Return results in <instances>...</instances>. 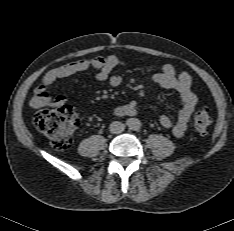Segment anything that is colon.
Returning <instances> with one entry per match:
<instances>
[{"label": "colon", "mask_w": 234, "mask_h": 231, "mask_svg": "<svg viewBox=\"0 0 234 231\" xmlns=\"http://www.w3.org/2000/svg\"><path fill=\"white\" fill-rule=\"evenodd\" d=\"M211 116L206 109H197L193 116L194 127L205 133L211 125ZM79 124V115L71 107L41 110L34 117V126L44 134L50 145L57 150L67 149L72 142V132Z\"/></svg>", "instance_id": "1"}]
</instances>
